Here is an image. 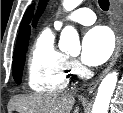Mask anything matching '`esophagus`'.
Returning a JSON list of instances; mask_svg holds the SVG:
<instances>
[{
    "label": "esophagus",
    "mask_w": 123,
    "mask_h": 113,
    "mask_svg": "<svg viewBox=\"0 0 123 113\" xmlns=\"http://www.w3.org/2000/svg\"><path fill=\"white\" fill-rule=\"evenodd\" d=\"M117 8V2L115 0H110V10L112 12V14L114 15L115 11ZM115 33H116V46H115V51L113 53V56L111 58V61L109 63V65L103 70V72L92 82L90 83V85L88 86V93H92L96 87L98 86V84L100 83V81L104 78V76L111 70V68L114 66V64L116 63L119 54H120V50H121V45H122V38H121V33L119 30V27L117 25V22H115Z\"/></svg>",
    "instance_id": "1"
}]
</instances>
